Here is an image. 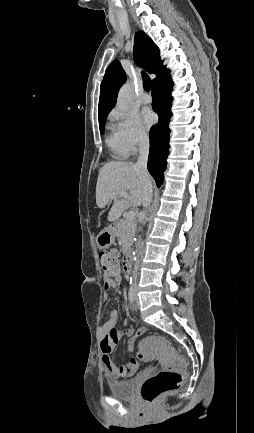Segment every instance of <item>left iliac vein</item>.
Here are the masks:
<instances>
[{"instance_id":"obj_1","label":"left iliac vein","mask_w":254,"mask_h":433,"mask_svg":"<svg viewBox=\"0 0 254 433\" xmlns=\"http://www.w3.org/2000/svg\"><path fill=\"white\" fill-rule=\"evenodd\" d=\"M135 301H136L135 308H137L139 300H138V297H137V291L136 290H135Z\"/></svg>"}]
</instances>
